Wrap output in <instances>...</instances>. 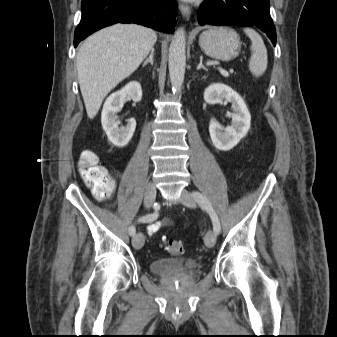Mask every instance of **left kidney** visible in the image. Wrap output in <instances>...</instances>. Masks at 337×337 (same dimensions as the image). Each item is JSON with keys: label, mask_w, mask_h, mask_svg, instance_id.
<instances>
[{"label": "left kidney", "mask_w": 337, "mask_h": 337, "mask_svg": "<svg viewBox=\"0 0 337 337\" xmlns=\"http://www.w3.org/2000/svg\"><path fill=\"white\" fill-rule=\"evenodd\" d=\"M204 100L209 104L220 103L223 100L231 102L234 113L228 114L232 119L231 126L222 127L214 119L209 124V133L213 145L222 151H229L246 136L251 122V115L242 97L231 87L215 83L206 88Z\"/></svg>", "instance_id": "left-kidney-1"}]
</instances>
